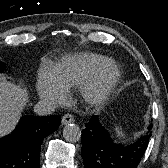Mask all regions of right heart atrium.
<instances>
[{
  "label": "right heart atrium",
  "mask_w": 168,
  "mask_h": 168,
  "mask_svg": "<svg viewBox=\"0 0 168 168\" xmlns=\"http://www.w3.org/2000/svg\"><path fill=\"white\" fill-rule=\"evenodd\" d=\"M37 90L40 98L51 104H57L65 97V90L56 83L47 70H42L39 73Z\"/></svg>",
  "instance_id": "obj_1"
}]
</instances>
